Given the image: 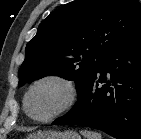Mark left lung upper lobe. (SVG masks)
I'll use <instances>...</instances> for the list:
<instances>
[{"label":"left lung upper lobe","instance_id":"obj_1","mask_svg":"<svg viewBox=\"0 0 141 139\" xmlns=\"http://www.w3.org/2000/svg\"><path fill=\"white\" fill-rule=\"evenodd\" d=\"M141 27L137 0H76L53 11L27 43L22 86L56 75L74 80L78 97L107 53Z\"/></svg>","mask_w":141,"mask_h":139}]
</instances>
